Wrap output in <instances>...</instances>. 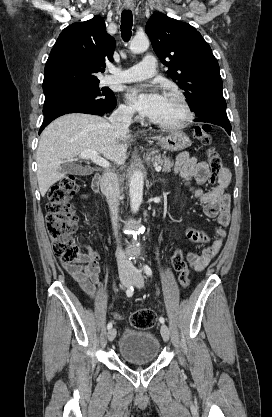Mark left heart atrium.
<instances>
[{"instance_id": "39dd6f15", "label": "left heart atrium", "mask_w": 272, "mask_h": 417, "mask_svg": "<svg viewBox=\"0 0 272 417\" xmlns=\"http://www.w3.org/2000/svg\"><path fill=\"white\" fill-rule=\"evenodd\" d=\"M127 96L137 111L152 120L159 114L165 100L158 90L146 85L129 88Z\"/></svg>"}]
</instances>
